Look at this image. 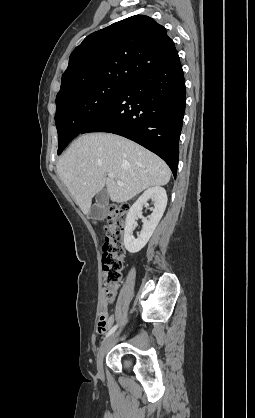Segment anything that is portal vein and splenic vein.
<instances>
[{
    "label": "portal vein and splenic vein",
    "mask_w": 255,
    "mask_h": 418,
    "mask_svg": "<svg viewBox=\"0 0 255 418\" xmlns=\"http://www.w3.org/2000/svg\"><path fill=\"white\" fill-rule=\"evenodd\" d=\"M108 176H109L110 178H113V177H114V174H113V173H109V174H108ZM117 183H118V185L123 186V183H122V182L118 181Z\"/></svg>",
    "instance_id": "1"
}]
</instances>
